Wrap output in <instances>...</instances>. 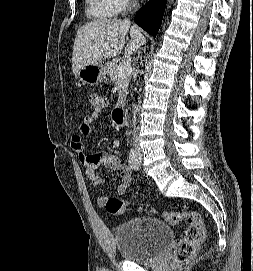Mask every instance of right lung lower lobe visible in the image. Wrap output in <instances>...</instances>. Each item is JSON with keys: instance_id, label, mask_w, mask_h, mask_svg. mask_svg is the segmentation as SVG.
I'll list each match as a JSON object with an SVG mask.
<instances>
[{"instance_id": "right-lung-lower-lobe-1", "label": "right lung lower lobe", "mask_w": 253, "mask_h": 271, "mask_svg": "<svg viewBox=\"0 0 253 271\" xmlns=\"http://www.w3.org/2000/svg\"><path fill=\"white\" fill-rule=\"evenodd\" d=\"M166 2L167 0H149L135 16V23L155 37L162 22Z\"/></svg>"}]
</instances>
